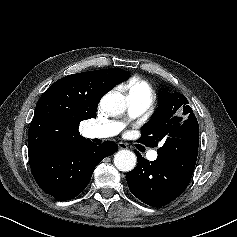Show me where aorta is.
<instances>
[{"label":"aorta","instance_id":"obj_1","mask_svg":"<svg viewBox=\"0 0 237 237\" xmlns=\"http://www.w3.org/2000/svg\"><path fill=\"white\" fill-rule=\"evenodd\" d=\"M100 106L110 116L122 114L127 107L125 97L119 92H109L104 95L100 101ZM136 161V155L129 150H120L114 156L116 168L123 172L133 170Z\"/></svg>","mask_w":237,"mask_h":237}]
</instances>
